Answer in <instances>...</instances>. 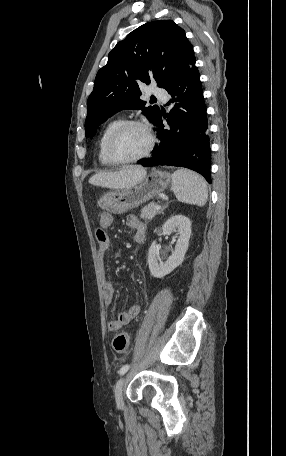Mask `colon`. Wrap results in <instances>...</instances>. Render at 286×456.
<instances>
[{"label":"colon","mask_w":286,"mask_h":456,"mask_svg":"<svg viewBox=\"0 0 286 456\" xmlns=\"http://www.w3.org/2000/svg\"><path fill=\"white\" fill-rule=\"evenodd\" d=\"M129 345V336L127 333H121L114 337L112 346L115 352L124 353Z\"/></svg>","instance_id":"colon-1"}]
</instances>
